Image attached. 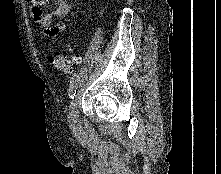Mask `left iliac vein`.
I'll return each mask as SVG.
<instances>
[{
  "instance_id": "4c4485c4",
  "label": "left iliac vein",
  "mask_w": 221,
  "mask_h": 174,
  "mask_svg": "<svg viewBox=\"0 0 221 174\" xmlns=\"http://www.w3.org/2000/svg\"><path fill=\"white\" fill-rule=\"evenodd\" d=\"M78 104H79V94L76 93L74 99L72 100L69 106V113H68L69 126L73 131H78L81 128L79 115H78Z\"/></svg>"
}]
</instances>
